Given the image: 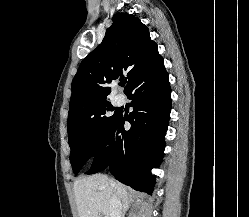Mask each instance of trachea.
<instances>
[{
	"label": "trachea",
	"mask_w": 249,
	"mask_h": 217,
	"mask_svg": "<svg viewBox=\"0 0 249 217\" xmlns=\"http://www.w3.org/2000/svg\"><path fill=\"white\" fill-rule=\"evenodd\" d=\"M125 85V83H121V86H124Z\"/></svg>",
	"instance_id": "1"
}]
</instances>
